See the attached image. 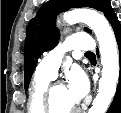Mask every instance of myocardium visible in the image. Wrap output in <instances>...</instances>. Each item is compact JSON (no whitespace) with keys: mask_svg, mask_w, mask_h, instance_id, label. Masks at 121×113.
<instances>
[{"mask_svg":"<svg viewBox=\"0 0 121 113\" xmlns=\"http://www.w3.org/2000/svg\"><path fill=\"white\" fill-rule=\"evenodd\" d=\"M57 86H63V85L61 83H57L50 87H47V89L45 91V105H46V110L48 111L47 113H55V112H53L52 92H53V89ZM76 110H79V108L76 107L75 109H73L67 113H73Z\"/></svg>","mask_w":121,"mask_h":113,"instance_id":"myocardium-1","label":"myocardium"}]
</instances>
